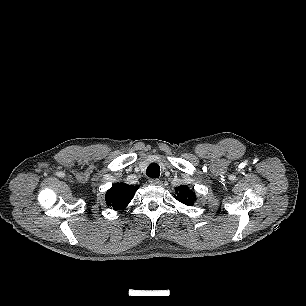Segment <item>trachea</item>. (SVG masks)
Here are the masks:
<instances>
[{
    "label": "trachea",
    "mask_w": 306,
    "mask_h": 306,
    "mask_svg": "<svg viewBox=\"0 0 306 306\" xmlns=\"http://www.w3.org/2000/svg\"><path fill=\"white\" fill-rule=\"evenodd\" d=\"M146 174L150 178H158L160 176V167H159V165L157 163H151L147 167Z\"/></svg>",
    "instance_id": "obj_1"
}]
</instances>
